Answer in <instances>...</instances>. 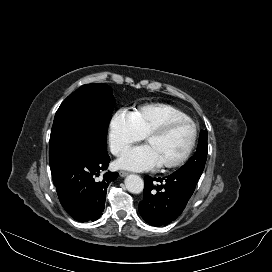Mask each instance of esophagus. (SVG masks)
Returning a JSON list of instances; mask_svg holds the SVG:
<instances>
[{"label": "esophagus", "instance_id": "34e87169", "mask_svg": "<svg viewBox=\"0 0 272 272\" xmlns=\"http://www.w3.org/2000/svg\"><path fill=\"white\" fill-rule=\"evenodd\" d=\"M119 175H120L121 177H125V176L128 175V172L120 171V172H119Z\"/></svg>", "mask_w": 272, "mask_h": 272}]
</instances>
